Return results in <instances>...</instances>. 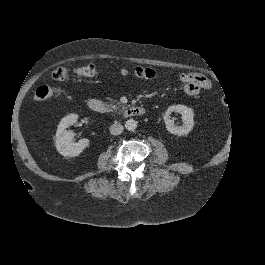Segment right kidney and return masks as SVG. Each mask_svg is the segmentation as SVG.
I'll list each match as a JSON object with an SVG mask.
<instances>
[{
	"instance_id": "right-kidney-1",
	"label": "right kidney",
	"mask_w": 265,
	"mask_h": 265,
	"mask_svg": "<svg viewBox=\"0 0 265 265\" xmlns=\"http://www.w3.org/2000/svg\"><path fill=\"white\" fill-rule=\"evenodd\" d=\"M77 120V114H69L61 119L57 127L55 144L57 151L63 156H78L89 145V140L86 138L73 142L74 134L67 130Z\"/></svg>"
}]
</instances>
